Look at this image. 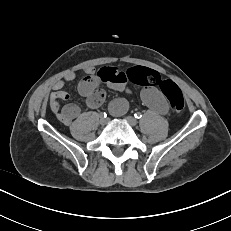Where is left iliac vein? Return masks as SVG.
Here are the masks:
<instances>
[{
	"mask_svg": "<svg viewBox=\"0 0 231 231\" xmlns=\"http://www.w3.org/2000/svg\"><path fill=\"white\" fill-rule=\"evenodd\" d=\"M126 121L132 127L136 126V124H137L136 119L134 117H132V116H127Z\"/></svg>",
	"mask_w": 231,
	"mask_h": 231,
	"instance_id": "1",
	"label": "left iliac vein"
}]
</instances>
